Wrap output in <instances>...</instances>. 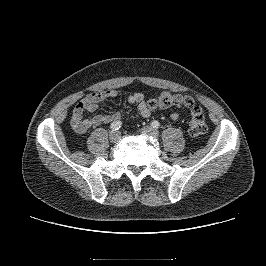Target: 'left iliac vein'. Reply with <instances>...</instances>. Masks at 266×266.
<instances>
[{
  "mask_svg": "<svg viewBox=\"0 0 266 266\" xmlns=\"http://www.w3.org/2000/svg\"><path fill=\"white\" fill-rule=\"evenodd\" d=\"M141 133H143L144 135L153 137V138H158V136H159L158 130H156L150 126H145V127L141 128Z\"/></svg>",
  "mask_w": 266,
  "mask_h": 266,
  "instance_id": "4c4485c4",
  "label": "left iliac vein"
}]
</instances>
